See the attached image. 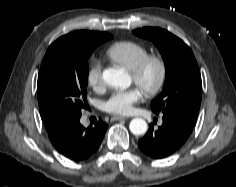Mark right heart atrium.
<instances>
[{
    "instance_id": "d8ad5b80",
    "label": "right heart atrium",
    "mask_w": 236,
    "mask_h": 187,
    "mask_svg": "<svg viewBox=\"0 0 236 187\" xmlns=\"http://www.w3.org/2000/svg\"><path fill=\"white\" fill-rule=\"evenodd\" d=\"M86 80L87 84L95 90H99L103 87L102 66L98 61H93L89 65Z\"/></svg>"
}]
</instances>
